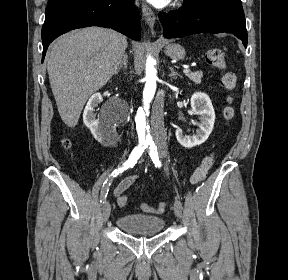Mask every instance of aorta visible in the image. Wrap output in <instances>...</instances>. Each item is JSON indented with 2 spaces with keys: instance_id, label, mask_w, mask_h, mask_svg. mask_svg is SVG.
I'll return each mask as SVG.
<instances>
[{
  "instance_id": "1",
  "label": "aorta",
  "mask_w": 288,
  "mask_h": 280,
  "mask_svg": "<svg viewBox=\"0 0 288 280\" xmlns=\"http://www.w3.org/2000/svg\"><path fill=\"white\" fill-rule=\"evenodd\" d=\"M145 87L143 91L144 106H138V111L134 115V120L137 121L136 136L138 140H151V126L148 120L150 103L153 100L156 91L157 70L155 68V61L151 56L147 57L145 69Z\"/></svg>"
}]
</instances>
